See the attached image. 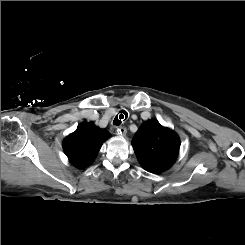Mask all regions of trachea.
<instances>
[{"label": "trachea", "mask_w": 245, "mask_h": 245, "mask_svg": "<svg viewBox=\"0 0 245 245\" xmlns=\"http://www.w3.org/2000/svg\"><path fill=\"white\" fill-rule=\"evenodd\" d=\"M118 114L119 115H117L113 120V124L117 126L125 121L128 117V113L125 110H121Z\"/></svg>", "instance_id": "trachea-1"}]
</instances>
